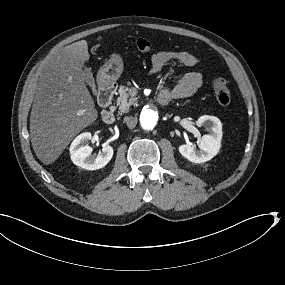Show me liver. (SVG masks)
<instances>
[{
	"label": "liver",
	"instance_id": "6515ba94",
	"mask_svg": "<svg viewBox=\"0 0 285 285\" xmlns=\"http://www.w3.org/2000/svg\"><path fill=\"white\" fill-rule=\"evenodd\" d=\"M90 59L80 40L55 51L41 74L30 114V139L36 157L52 165L83 129L98 119L83 68Z\"/></svg>",
	"mask_w": 285,
	"mask_h": 285
}]
</instances>
